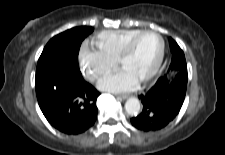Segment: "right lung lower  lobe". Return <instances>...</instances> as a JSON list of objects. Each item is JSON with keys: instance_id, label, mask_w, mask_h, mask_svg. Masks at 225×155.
<instances>
[{"instance_id": "obj_1", "label": "right lung lower lobe", "mask_w": 225, "mask_h": 155, "mask_svg": "<svg viewBox=\"0 0 225 155\" xmlns=\"http://www.w3.org/2000/svg\"><path fill=\"white\" fill-rule=\"evenodd\" d=\"M35 88L42 113L57 130L75 135L95 123L100 93L83 79L79 67L65 65Z\"/></svg>"}]
</instances>
